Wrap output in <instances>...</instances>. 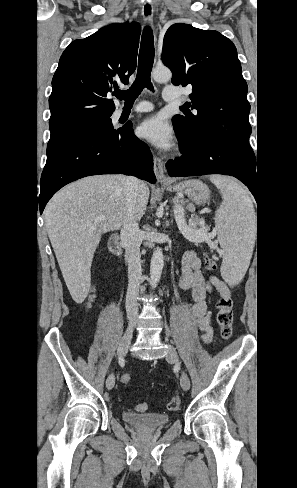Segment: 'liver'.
Instances as JSON below:
<instances>
[{
  "label": "liver",
  "instance_id": "6515ba94",
  "mask_svg": "<svg viewBox=\"0 0 297 488\" xmlns=\"http://www.w3.org/2000/svg\"><path fill=\"white\" fill-rule=\"evenodd\" d=\"M124 175H96L73 182L48 202L44 219L66 286L80 304L91 286V264L103 233L119 229L126 216ZM149 188L143 183L136 197L134 218L146 210ZM104 214L105 218L96 221Z\"/></svg>",
  "mask_w": 297,
  "mask_h": 488
}]
</instances>
